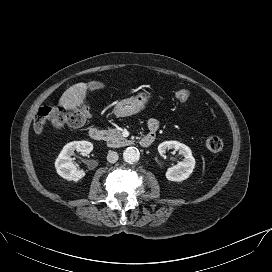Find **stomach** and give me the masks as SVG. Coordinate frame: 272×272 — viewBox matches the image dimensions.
I'll use <instances>...</instances> for the list:
<instances>
[{
  "label": "stomach",
  "instance_id": "obj_1",
  "mask_svg": "<svg viewBox=\"0 0 272 272\" xmlns=\"http://www.w3.org/2000/svg\"><path fill=\"white\" fill-rule=\"evenodd\" d=\"M152 98L148 91H142L136 96L119 101L114 107V114L117 117H127L142 111Z\"/></svg>",
  "mask_w": 272,
  "mask_h": 272
}]
</instances>
